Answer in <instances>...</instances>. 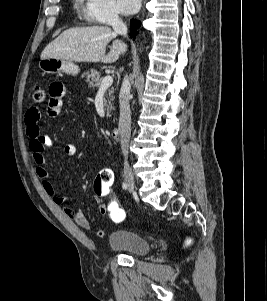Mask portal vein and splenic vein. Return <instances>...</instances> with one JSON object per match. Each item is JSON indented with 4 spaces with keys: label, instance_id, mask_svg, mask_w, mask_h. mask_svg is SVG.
<instances>
[{
    "label": "portal vein and splenic vein",
    "instance_id": "18ae733b",
    "mask_svg": "<svg viewBox=\"0 0 267 301\" xmlns=\"http://www.w3.org/2000/svg\"><path fill=\"white\" fill-rule=\"evenodd\" d=\"M112 83H113V77L111 75H107L103 78L100 85V89H107L112 85Z\"/></svg>",
    "mask_w": 267,
    "mask_h": 301
}]
</instances>
